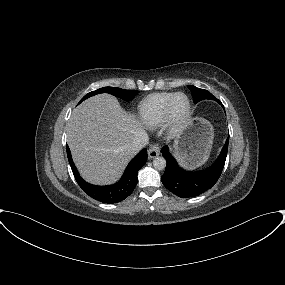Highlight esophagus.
<instances>
[{
	"label": "esophagus",
	"instance_id": "esophagus-1",
	"mask_svg": "<svg viewBox=\"0 0 285 285\" xmlns=\"http://www.w3.org/2000/svg\"><path fill=\"white\" fill-rule=\"evenodd\" d=\"M160 154V147L158 144H152L149 147L148 150V157L151 158H155L156 156H158Z\"/></svg>",
	"mask_w": 285,
	"mask_h": 285
}]
</instances>
